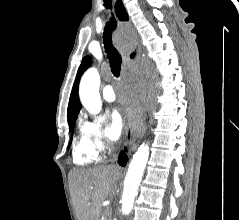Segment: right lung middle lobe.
I'll use <instances>...</instances> for the list:
<instances>
[{"mask_svg": "<svg viewBox=\"0 0 239 220\" xmlns=\"http://www.w3.org/2000/svg\"><path fill=\"white\" fill-rule=\"evenodd\" d=\"M75 121H76V119H74V120H72V121L68 122V123H69V127H70V131H72V130H73V128H74V125H75Z\"/></svg>", "mask_w": 239, "mask_h": 220, "instance_id": "obj_1", "label": "right lung middle lobe"}]
</instances>
